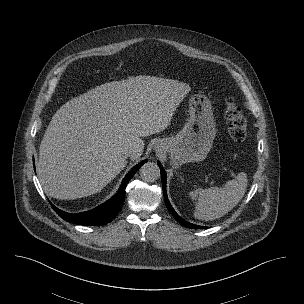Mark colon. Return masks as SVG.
I'll return each instance as SVG.
<instances>
[{"label":"colon","mask_w":304,"mask_h":304,"mask_svg":"<svg viewBox=\"0 0 304 304\" xmlns=\"http://www.w3.org/2000/svg\"><path fill=\"white\" fill-rule=\"evenodd\" d=\"M224 117L231 140L236 144L243 143L247 136V120L235 99L226 100Z\"/></svg>","instance_id":"obj_1"}]
</instances>
